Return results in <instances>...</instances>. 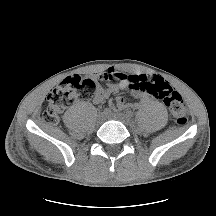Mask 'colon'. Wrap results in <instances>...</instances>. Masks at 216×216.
Listing matches in <instances>:
<instances>
[{"label":"colon","instance_id":"1","mask_svg":"<svg viewBox=\"0 0 216 216\" xmlns=\"http://www.w3.org/2000/svg\"><path fill=\"white\" fill-rule=\"evenodd\" d=\"M141 88L149 90L153 95L163 100L178 125L187 122V110L183 97L165 81L140 84ZM98 85L91 78L73 75L65 78L55 87L47 98V107L43 119L47 123L55 124L59 115L79 100H88L97 93Z\"/></svg>","mask_w":216,"mask_h":216}]
</instances>
